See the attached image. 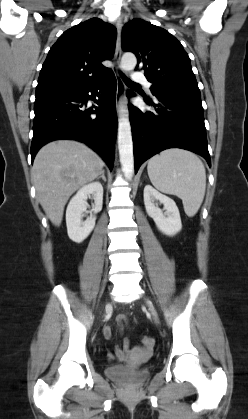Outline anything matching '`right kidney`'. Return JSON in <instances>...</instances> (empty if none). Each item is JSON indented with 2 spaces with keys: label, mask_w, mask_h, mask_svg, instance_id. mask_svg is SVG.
<instances>
[{
  "label": "right kidney",
  "mask_w": 248,
  "mask_h": 419,
  "mask_svg": "<svg viewBox=\"0 0 248 419\" xmlns=\"http://www.w3.org/2000/svg\"><path fill=\"white\" fill-rule=\"evenodd\" d=\"M90 196L94 199L92 211L96 214L102 210L103 205V186L100 182H92L80 188L67 206V232L69 238L76 243L85 240L95 227L94 216L82 221V213L87 209L86 200Z\"/></svg>",
  "instance_id": "right-kidney-1"
}]
</instances>
